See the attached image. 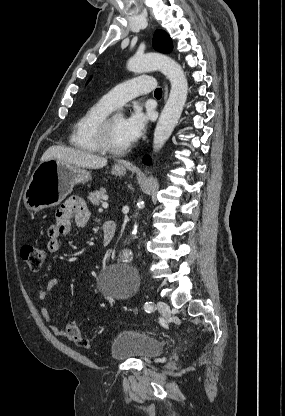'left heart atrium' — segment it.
Masks as SVG:
<instances>
[{"mask_svg": "<svg viewBox=\"0 0 285 416\" xmlns=\"http://www.w3.org/2000/svg\"><path fill=\"white\" fill-rule=\"evenodd\" d=\"M147 119L139 108H134L123 118L122 134L127 145L136 142L144 133Z\"/></svg>", "mask_w": 285, "mask_h": 416, "instance_id": "obj_1", "label": "left heart atrium"}]
</instances>
